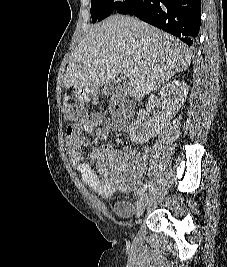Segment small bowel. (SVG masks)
<instances>
[{
  "instance_id": "1",
  "label": "small bowel",
  "mask_w": 227,
  "mask_h": 267,
  "mask_svg": "<svg viewBox=\"0 0 227 267\" xmlns=\"http://www.w3.org/2000/svg\"><path fill=\"white\" fill-rule=\"evenodd\" d=\"M111 123H107L99 115L92 116L81 128L76 124L69 125L66 129V142L68 155L72 166L79 172L82 181L91 189L101 195H109L113 186L127 188L140 182L143 177L144 161L141 159L136 163L126 165L118 163L110 170L104 160H100L99 151L93 150L87 156L83 155L80 149L90 144L87 133L96 128V134L100 139H105L109 134ZM123 141L117 139L116 145ZM98 162L97 174L91 162Z\"/></svg>"
}]
</instances>
